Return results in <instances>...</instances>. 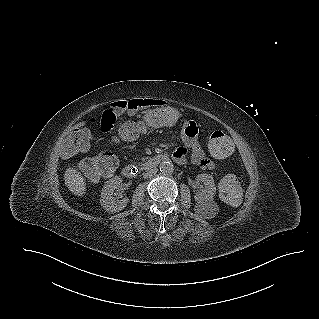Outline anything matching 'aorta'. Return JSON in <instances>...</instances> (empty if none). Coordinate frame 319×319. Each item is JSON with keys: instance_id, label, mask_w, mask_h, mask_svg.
Segmentation results:
<instances>
[{"instance_id": "obj_1", "label": "aorta", "mask_w": 319, "mask_h": 319, "mask_svg": "<svg viewBox=\"0 0 319 319\" xmlns=\"http://www.w3.org/2000/svg\"><path fill=\"white\" fill-rule=\"evenodd\" d=\"M160 172L164 175H170L174 172L173 163L170 160H164L159 165Z\"/></svg>"}]
</instances>
